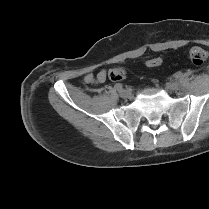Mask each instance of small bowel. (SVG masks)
<instances>
[{
	"label": "small bowel",
	"instance_id": "c3829d8e",
	"mask_svg": "<svg viewBox=\"0 0 209 209\" xmlns=\"http://www.w3.org/2000/svg\"><path fill=\"white\" fill-rule=\"evenodd\" d=\"M106 77H107V71L101 70L96 76H94L92 74L86 75L84 80L87 83H97V82L101 83L106 80Z\"/></svg>",
	"mask_w": 209,
	"mask_h": 209
}]
</instances>
